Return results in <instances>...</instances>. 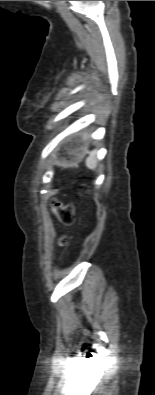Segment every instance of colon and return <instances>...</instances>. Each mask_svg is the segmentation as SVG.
<instances>
[{
    "label": "colon",
    "instance_id": "obj_1",
    "mask_svg": "<svg viewBox=\"0 0 155 395\" xmlns=\"http://www.w3.org/2000/svg\"><path fill=\"white\" fill-rule=\"evenodd\" d=\"M52 209L57 215L59 221L64 225H71L76 219L75 208L71 204H62L58 201H52Z\"/></svg>",
    "mask_w": 155,
    "mask_h": 395
}]
</instances>
